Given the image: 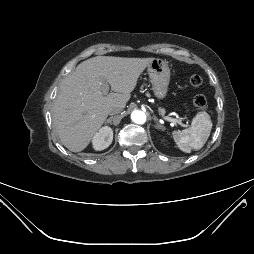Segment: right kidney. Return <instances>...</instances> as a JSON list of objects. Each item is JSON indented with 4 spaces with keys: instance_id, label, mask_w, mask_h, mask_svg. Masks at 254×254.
Wrapping results in <instances>:
<instances>
[{
    "instance_id": "ca27d5eb",
    "label": "right kidney",
    "mask_w": 254,
    "mask_h": 254,
    "mask_svg": "<svg viewBox=\"0 0 254 254\" xmlns=\"http://www.w3.org/2000/svg\"><path fill=\"white\" fill-rule=\"evenodd\" d=\"M113 140V131L110 127H102L96 134L93 136L92 144L93 148L97 151L106 149L110 146Z\"/></svg>"
}]
</instances>
